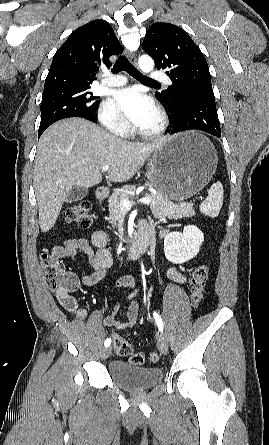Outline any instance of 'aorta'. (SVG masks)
Returning <instances> with one entry per match:
<instances>
[{"label": "aorta", "mask_w": 269, "mask_h": 445, "mask_svg": "<svg viewBox=\"0 0 269 445\" xmlns=\"http://www.w3.org/2000/svg\"><path fill=\"white\" fill-rule=\"evenodd\" d=\"M138 63L140 69L145 73L151 72L154 68L153 59L147 55L139 57Z\"/></svg>", "instance_id": "aorta-1"}]
</instances>
